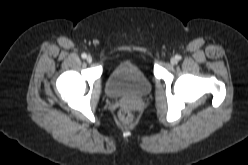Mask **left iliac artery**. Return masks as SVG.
Listing matches in <instances>:
<instances>
[{
	"label": "left iliac artery",
	"mask_w": 248,
	"mask_h": 165,
	"mask_svg": "<svg viewBox=\"0 0 248 165\" xmlns=\"http://www.w3.org/2000/svg\"><path fill=\"white\" fill-rule=\"evenodd\" d=\"M176 59H177V60H180L181 57H180L179 55H176Z\"/></svg>",
	"instance_id": "obj_1"
}]
</instances>
